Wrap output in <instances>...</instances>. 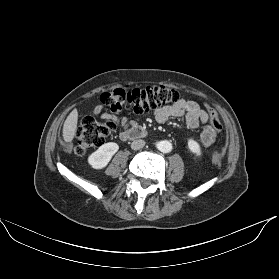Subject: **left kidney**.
Segmentation results:
<instances>
[{
    "mask_svg": "<svg viewBox=\"0 0 279 279\" xmlns=\"http://www.w3.org/2000/svg\"><path fill=\"white\" fill-rule=\"evenodd\" d=\"M187 144H188V149L190 150V152H192L196 156H201V154H202L201 147L196 140L189 138Z\"/></svg>",
    "mask_w": 279,
    "mask_h": 279,
    "instance_id": "left-kidney-1",
    "label": "left kidney"
}]
</instances>
